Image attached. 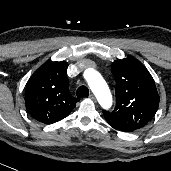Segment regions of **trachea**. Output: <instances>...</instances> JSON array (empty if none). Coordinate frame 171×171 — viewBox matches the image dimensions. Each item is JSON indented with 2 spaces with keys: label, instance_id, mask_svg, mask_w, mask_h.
Listing matches in <instances>:
<instances>
[{
  "label": "trachea",
  "instance_id": "obj_1",
  "mask_svg": "<svg viewBox=\"0 0 171 171\" xmlns=\"http://www.w3.org/2000/svg\"><path fill=\"white\" fill-rule=\"evenodd\" d=\"M77 97H88L89 96V89L82 85L77 89Z\"/></svg>",
  "mask_w": 171,
  "mask_h": 171
}]
</instances>
